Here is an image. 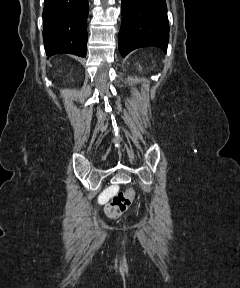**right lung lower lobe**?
Listing matches in <instances>:
<instances>
[{"mask_svg": "<svg viewBox=\"0 0 240 288\" xmlns=\"http://www.w3.org/2000/svg\"><path fill=\"white\" fill-rule=\"evenodd\" d=\"M88 0H45L43 41L47 55L87 52Z\"/></svg>", "mask_w": 240, "mask_h": 288, "instance_id": "obj_1", "label": "right lung lower lobe"}]
</instances>
